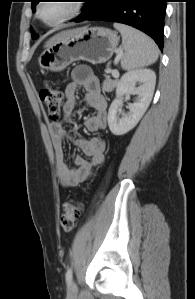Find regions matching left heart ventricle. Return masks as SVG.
I'll use <instances>...</instances> for the list:
<instances>
[{
	"label": "left heart ventricle",
	"mask_w": 195,
	"mask_h": 299,
	"mask_svg": "<svg viewBox=\"0 0 195 299\" xmlns=\"http://www.w3.org/2000/svg\"><path fill=\"white\" fill-rule=\"evenodd\" d=\"M70 9L65 0L46 1L41 8V17L44 21L53 23L64 17Z\"/></svg>",
	"instance_id": "b2bd125f"
}]
</instances>
